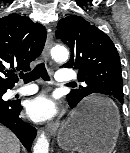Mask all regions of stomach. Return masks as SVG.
<instances>
[{
    "label": "stomach",
    "mask_w": 130,
    "mask_h": 153,
    "mask_svg": "<svg viewBox=\"0 0 130 153\" xmlns=\"http://www.w3.org/2000/svg\"><path fill=\"white\" fill-rule=\"evenodd\" d=\"M85 109H91L83 115ZM121 127L117 107L110 99L91 97L74 110L58 131V145L79 153H112Z\"/></svg>",
    "instance_id": "0dacf381"
}]
</instances>
